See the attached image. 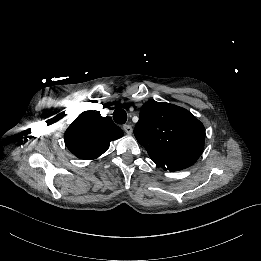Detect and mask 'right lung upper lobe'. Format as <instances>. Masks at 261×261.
<instances>
[{"instance_id": "cb5924a9", "label": "right lung upper lobe", "mask_w": 261, "mask_h": 261, "mask_svg": "<svg viewBox=\"0 0 261 261\" xmlns=\"http://www.w3.org/2000/svg\"><path fill=\"white\" fill-rule=\"evenodd\" d=\"M122 136L123 131L109 117L86 111L68 127L64 140L76 157L92 160L106 152L111 141Z\"/></svg>"}]
</instances>
